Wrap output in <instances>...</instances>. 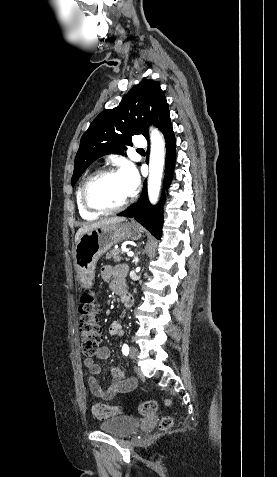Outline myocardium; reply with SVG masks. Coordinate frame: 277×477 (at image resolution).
<instances>
[{"mask_svg":"<svg viewBox=\"0 0 277 477\" xmlns=\"http://www.w3.org/2000/svg\"><path fill=\"white\" fill-rule=\"evenodd\" d=\"M116 173H119V171L116 168H106L94 173L88 178V180L85 182L81 190V203H82V206L87 211L94 214H98V215H106V214L117 213L125 209L129 205L130 203L129 197H127L121 204L115 207H102V206L96 205L90 199V191L93 185L101 178L108 175L116 174Z\"/></svg>","mask_w":277,"mask_h":477,"instance_id":"obj_1","label":"myocardium"}]
</instances>
